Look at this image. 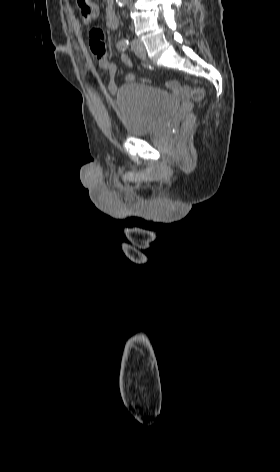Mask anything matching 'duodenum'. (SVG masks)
I'll use <instances>...</instances> for the list:
<instances>
[{"label":"duodenum","mask_w":280,"mask_h":472,"mask_svg":"<svg viewBox=\"0 0 280 472\" xmlns=\"http://www.w3.org/2000/svg\"><path fill=\"white\" fill-rule=\"evenodd\" d=\"M106 25L110 29H116L119 25V19L111 8L106 13Z\"/></svg>","instance_id":"410a0bca"}]
</instances>
